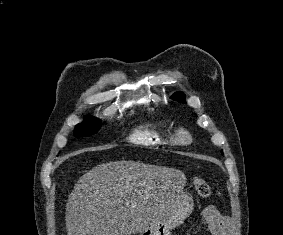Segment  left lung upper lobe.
<instances>
[{"label": "left lung upper lobe", "mask_w": 283, "mask_h": 235, "mask_svg": "<svg viewBox=\"0 0 283 235\" xmlns=\"http://www.w3.org/2000/svg\"><path fill=\"white\" fill-rule=\"evenodd\" d=\"M171 99L179 101L181 103H184V94L183 93H174L173 96H171Z\"/></svg>", "instance_id": "1"}]
</instances>
